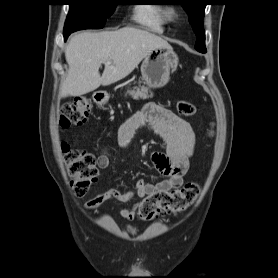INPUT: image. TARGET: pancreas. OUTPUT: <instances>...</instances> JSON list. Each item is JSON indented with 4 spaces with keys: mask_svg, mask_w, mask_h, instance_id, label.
I'll list each match as a JSON object with an SVG mask.
<instances>
[{
    "mask_svg": "<svg viewBox=\"0 0 278 278\" xmlns=\"http://www.w3.org/2000/svg\"><path fill=\"white\" fill-rule=\"evenodd\" d=\"M129 93L135 99H138V98L146 99L148 97H152V95H153L152 93H150V95H149L148 94V89L144 86L134 87V90L130 91Z\"/></svg>",
    "mask_w": 278,
    "mask_h": 278,
    "instance_id": "pancreas-1",
    "label": "pancreas"
}]
</instances>
